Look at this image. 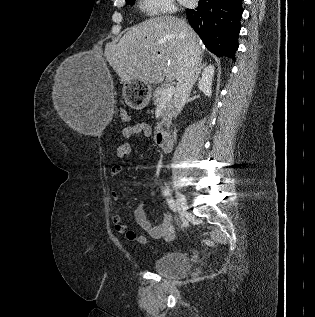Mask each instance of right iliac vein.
I'll return each mask as SVG.
<instances>
[{
  "label": "right iliac vein",
  "instance_id": "63e3f726",
  "mask_svg": "<svg viewBox=\"0 0 315 317\" xmlns=\"http://www.w3.org/2000/svg\"><path fill=\"white\" fill-rule=\"evenodd\" d=\"M176 197H177L176 204H177L178 212H179L181 217H184V215L186 213V209H187L186 199H185L184 195H182L179 192H177Z\"/></svg>",
  "mask_w": 315,
  "mask_h": 317
}]
</instances>
